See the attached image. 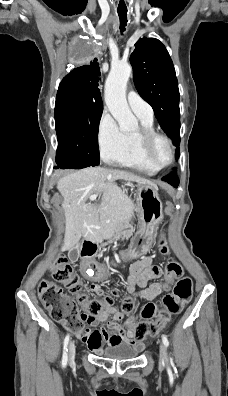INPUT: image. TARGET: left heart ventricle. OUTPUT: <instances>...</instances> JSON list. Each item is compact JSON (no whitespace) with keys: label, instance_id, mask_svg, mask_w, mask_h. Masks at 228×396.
<instances>
[{"label":"left heart ventricle","instance_id":"obj_1","mask_svg":"<svg viewBox=\"0 0 228 396\" xmlns=\"http://www.w3.org/2000/svg\"><path fill=\"white\" fill-rule=\"evenodd\" d=\"M153 155L155 160L159 164H164L169 160L170 154H169V149L166 145V143L162 140H159L154 148H153Z\"/></svg>","mask_w":228,"mask_h":396}]
</instances>
